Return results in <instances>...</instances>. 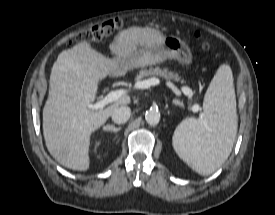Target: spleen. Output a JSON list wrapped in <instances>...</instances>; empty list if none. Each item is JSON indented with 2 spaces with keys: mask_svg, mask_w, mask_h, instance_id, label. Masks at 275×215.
I'll return each mask as SVG.
<instances>
[{
  "mask_svg": "<svg viewBox=\"0 0 275 215\" xmlns=\"http://www.w3.org/2000/svg\"><path fill=\"white\" fill-rule=\"evenodd\" d=\"M201 119L183 120L173 135L179 157L200 175H209L229 157L237 133L236 97L229 65H221L204 97Z\"/></svg>",
  "mask_w": 275,
  "mask_h": 215,
  "instance_id": "3e777b00",
  "label": "spleen"
}]
</instances>
